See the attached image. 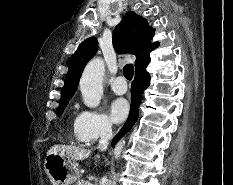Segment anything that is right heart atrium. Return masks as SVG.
Returning <instances> with one entry per match:
<instances>
[{
  "label": "right heart atrium",
  "mask_w": 233,
  "mask_h": 185,
  "mask_svg": "<svg viewBox=\"0 0 233 185\" xmlns=\"http://www.w3.org/2000/svg\"><path fill=\"white\" fill-rule=\"evenodd\" d=\"M111 133V124L102 113L84 109L75 121V134L79 141L90 144L100 138H105Z\"/></svg>",
  "instance_id": "d8ad5b80"
}]
</instances>
